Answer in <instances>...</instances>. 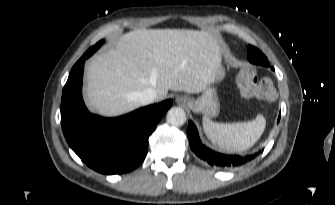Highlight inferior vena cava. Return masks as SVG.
Here are the masks:
<instances>
[{
    "label": "inferior vena cava",
    "mask_w": 335,
    "mask_h": 205,
    "mask_svg": "<svg viewBox=\"0 0 335 205\" xmlns=\"http://www.w3.org/2000/svg\"><path fill=\"white\" fill-rule=\"evenodd\" d=\"M157 98V92L155 89L149 87L142 92L136 93L137 101L142 105H147L155 101Z\"/></svg>",
    "instance_id": "obj_1"
}]
</instances>
